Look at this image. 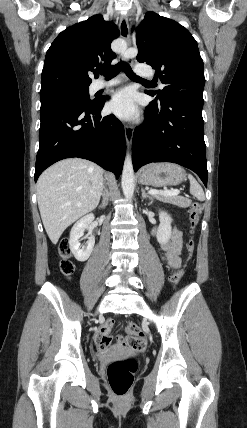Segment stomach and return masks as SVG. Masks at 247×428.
Masks as SVG:
<instances>
[{
    "label": "stomach",
    "instance_id": "obj_1",
    "mask_svg": "<svg viewBox=\"0 0 247 428\" xmlns=\"http://www.w3.org/2000/svg\"><path fill=\"white\" fill-rule=\"evenodd\" d=\"M186 178L185 170L173 163H155L144 167L140 172V182L145 185H178Z\"/></svg>",
    "mask_w": 247,
    "mask_h": 428
}]
</instances>
